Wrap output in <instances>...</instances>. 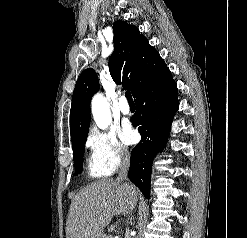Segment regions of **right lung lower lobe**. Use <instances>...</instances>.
Returning a JSON list of instances; mask_svg holds the SVG:
<instances>
[{
	"instance_id": "98d812e1",
	"label": "right lung lower lobe",
	"mask_w": 247,
	"mask_h": 238,
	"mask_svg": "<svg viewBox=\"0 0 247 238\" xmlns=\"http://www.w3.org/2000/svg\"><path fill=\"white\" fill-rule=\"evenodd\" d=\"M135 102L137 112L132 117V124L138 127L142 138L131 152L128 176L149 198L152 161L165 146L174 113L179 107L177 84L169 68L139 93Z\"/></svg>"
}]
</instances>
